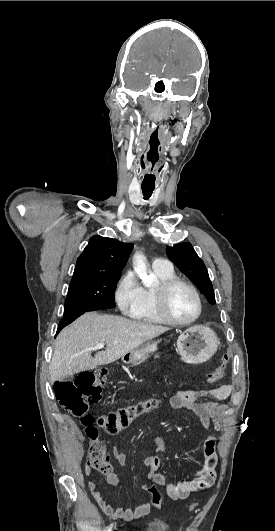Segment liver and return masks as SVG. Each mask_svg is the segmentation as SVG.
<instances>
[{
    "mask_svg": "<svg viewBox=\"0 0 275 531\" xmlns=\"http://www.w3.org/2000/svg\"><path fill=\"white\" fill-rule=\"evenodd\" d=\"M170 331L168 327L129 321L117 315L85 313L65 327L57 337L49 371L51 383L71 377L80 371H92L99 365H109L140 347L142 343ZM98 343H105L106 351L91 357L90 351Z\"/></svg>",
    "mask_w": 275,
    "mask_h": 531,
    "instance_id": "obj_1",
    "label": "liver"
}]
</instances>
